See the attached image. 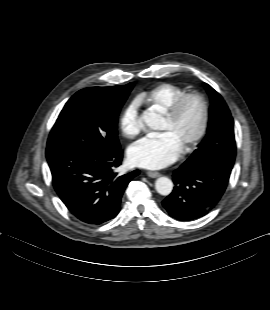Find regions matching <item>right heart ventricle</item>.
I'll return each mask as SVG.
<instances>
[{
    "instance_id": "1",
    "label": "right heart ventricle",
    "mask_w": 270,
    "mask_h": 310,
    "mask_svg": "<svg viewBox=\"0 0 270 310\" xmlns=\"http://www.w3.org/2000/svg\"><path fill=\"white\" fill-rule=\"evenodd\" d=\"M185 91L171 83H161L151 89L142 92L138 99L151 107H157L166 112L172 103Z\"/></svg>"
}]
</instances>
